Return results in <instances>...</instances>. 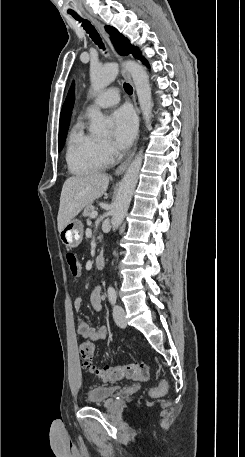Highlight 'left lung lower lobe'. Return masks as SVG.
<instances>
[{
  "mask_svg": "<svg viewBox=\"0 0 245 457\" xmlns=\"http://www.w3.org/2000/svg\"><path fill=\"white\" fill-rule=\"evenodd\" d=\"M145 65H147V61L144 58L140 59Z\"/></svg>",
  "mask_w": 245,
  "mask_h": 457,
  "instance_id": "obj_1",
  "label": "left lung lower lobe"
}]
</instances>
